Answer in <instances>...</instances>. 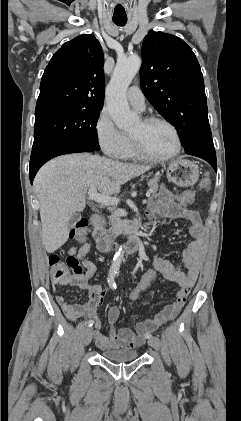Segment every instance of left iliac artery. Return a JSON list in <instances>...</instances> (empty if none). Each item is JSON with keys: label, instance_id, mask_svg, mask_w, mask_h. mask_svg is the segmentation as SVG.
<instances>
[{"label": "left iliac artery", "instance_id": "44dca946", "mask_svg": "<svg viewBox=\"0 0 241 421\" xmlns=\"http://www.w3.org/2000/svg\"><path fill=\"white\" fill-rule=\"evenodd\" d=\"M147 338L150 339L151 338V335L150 336H147Z\"/></svg>", "mask_w": 241, "mask_h": 421}]
</instances>
